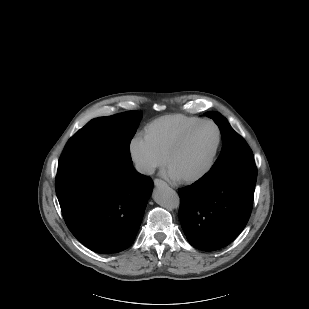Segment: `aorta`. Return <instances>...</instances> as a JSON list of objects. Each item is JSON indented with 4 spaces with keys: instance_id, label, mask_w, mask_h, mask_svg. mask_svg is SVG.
Listing matches in <instances>:
<instances>
[{
    "instance_id": "obj_1",
    "label": "aorta",
    "mask_w": 309,
    "mask_h": 309,
    "mask_svg": "<svg viewBox=\"0 0 309 309\" xmlns=\"http://www.w3.org/2000/svg\"><path fill=\"white\" fill-rule=\"evenodd\" d=\"M153 199L158 205L166 209H176L180 204L178 194L167 184H162L153 190Z\"/></svg>"
}]
</instances>
